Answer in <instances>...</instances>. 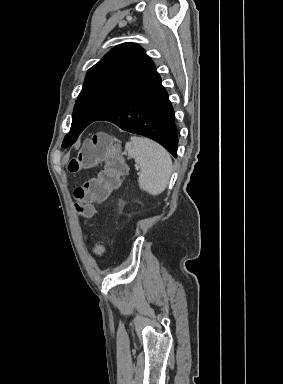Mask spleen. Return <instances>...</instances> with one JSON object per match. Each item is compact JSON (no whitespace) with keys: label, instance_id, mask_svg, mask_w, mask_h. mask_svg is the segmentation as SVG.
I'll use <instances>...</instances> for the list:
<instances>
[{"label":"spleen","instance_id":"3e777b00","mask_svg":"<svg viewBox=\"0 0 283 384\" xmlns=\"http://www.w3.org/2000/svg\"><path fill=\"white\" fill-rule=\"evenodd\" d=\"M124 154L134 158L139 168L138 184L141 190L151 196L162 194L173 170L169 152L153 140L132 136L131 142L125 144Z\"/></svg>","mask_w":283,"mask_h":384}]
</instances>
